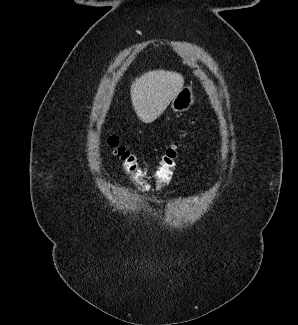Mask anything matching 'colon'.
<instances>
[{
    "label": "colon",
    "instance_id": "colon-1",
    "mask_svg": "<svg viewBox=\"0 0 298 325\" xmlns=\"http://www.w3.org/2000/svg\"><path fill=\"white\" fill-rule=\"evenodd\" d=\"M185 132L181 137L184 138ZM108 145L115 156L121 162V167L134 186L141 190L147 191L151 185L146 172L139 165L136 156L126 147L120 144L119 138L112 134L107 139ZM179 141H174L163 153L159 165L154 174L155 187L162 189L167 186L171 180L179 157Z\"/></svg>",
    "mask_w": 298,
    "mask_h": 325
}]
</instances>
